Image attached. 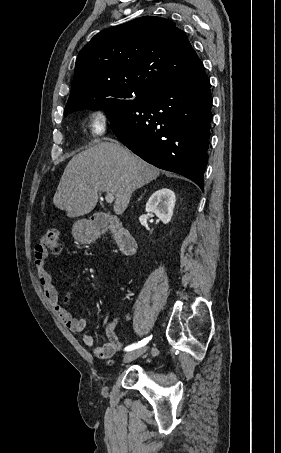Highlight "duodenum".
<instances>
[{"label": "duodenum", "instance_id": "duodenum-1", "mask_svg": "<svg viewBox=\"0 0 281 453\" xmlns=\"http://www.w3.org/2000/svg\"><path fill=\"white\" fill-rule=\"evenodd\" d=\"M105 232H110L124 255H132L137 248L136 240L131 233L124 228L122 223L115 218L96 217L91 222L90 233L93 238Z\"/></svg>", "mask_w": 281, "mask_h": 453}]
</instances>
